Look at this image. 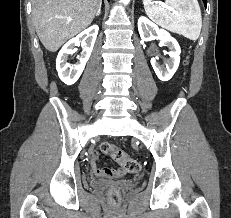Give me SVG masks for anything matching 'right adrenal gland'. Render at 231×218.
Returning a JSON list of instances; mask_svg holds the SVG:
<instances>
[{"mask_svg":"<svg viewBox=\"0 0 231 218\" xmlns=\"http://www.w3.org/2000/svg\"><path fill=\"white\" fill-rule=\"evenodd\" d=\"M100 13H101V7L99 8V10H98L96 16H100Z\"/></svg>","mask_w":231,"mask_h":218,"instance_id":"1","label":"right adrenal gland"}]
</instances>
